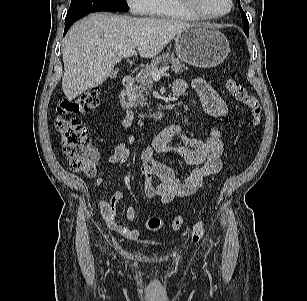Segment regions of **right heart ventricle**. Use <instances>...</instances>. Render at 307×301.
Here are the masks:
<instances>
[{"mask_svg":"<svg viewBox=\"0 0 307 301\" xmlns=\"http://www.w3.org/2000/svg\"><path fill=\"white\" fill-rule=\"evenodd\" d=\"M150 16L158 19L197 20L198 18L182 9L176 0H155Z\"/></svg>","mask_w":307,"mask_h":301,"instance_id":"right-heart-ventricle-1","label":"right heart ventricle"}]
</instances>
